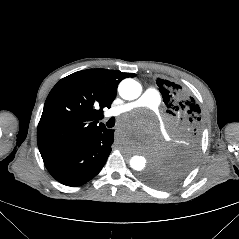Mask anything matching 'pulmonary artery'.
I'll list each match as a JSON object with an SVG mask.
<instances>
[{
    "instance_id": "pulmonary-artery-1",
    "label": "pulmonary artery",
    "mask_w": 239,
    "mask_h": 239,
    "mask_svg": "<svg viewBox=\"0 0 239 239\" xmlns=\"http://www.w3.org/2000/svg\"><path fill=\"white\" fill-rule=\"evenodd\" d=\"M161 103L160 93L154 88H147L136 101L115 107L108 111V116H119L137 108L157 110Z\"/></svg>"
}]
</instances>
